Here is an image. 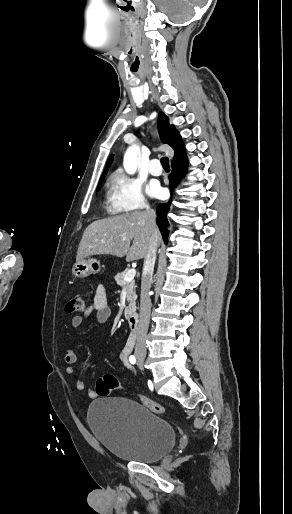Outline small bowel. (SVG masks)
<instances>
[{"mask_svg":"<svg viewBox=\"0 0 292 514\" xmlns=\"http://www.w3.org/2000/svg\"><path fill=\"white\" fill-rule=\"evenodd\" d=\"M91 314H95L96 320L98 323L103 324L107 322L112 317V309L108 304L107 299V291L104 285H98L95 294L93 297V300L91 304L87 307L83 315H76L73 316L71 319V326L73 328H79L86 317H88ZM129 350L125 348L122 353L120 354V359L127 369V371L131 374H135V369L132 367V365L129 362L128 359ZM77 354L76 352L71 349L67 348L64 351V361L67 364V367L65 369V372L68 376H70L74 382V386L76 390L78 391H84L85 390V382L83 379H81L79 376H77L76 371L73 367V364L77 362ZM88 396L91 398L96 397V392L94 390L88 391Z\"/></svg>","mask_w":292,"mask_h":514,"instance_id":"small-bowel-1","label":"small bowel"}]
</instances>
